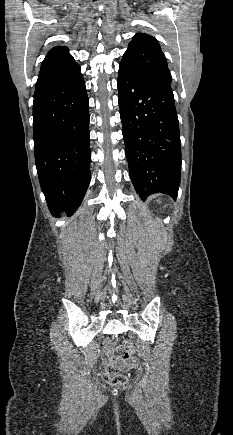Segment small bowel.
<instances>
[{
	"label": "small bowel",
	"mask_w": 233,
	"mask_h": 435,
	"mask_svg": "<svg viewBox=\"0 0 233 435\" xmlns=\"http://www.w3.org/2000/svg\"><path fill=\"white\" fill-rule=\"evenodd\" d=\"M136 364H137V362H136V360H131L129 363H128V367H134V366H136Z\"/></svg>",
	"instance_id": "obj_1"
}]
</instances>
